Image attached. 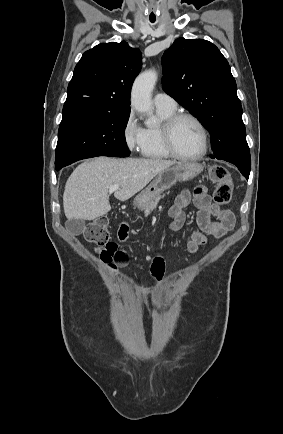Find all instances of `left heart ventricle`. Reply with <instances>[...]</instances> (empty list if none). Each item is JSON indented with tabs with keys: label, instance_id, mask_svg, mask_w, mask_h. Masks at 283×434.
<instances>
[{
	"label": "left heart ventricle",
	"instance_id": "obj_1",
	"mask_svg": "<svg viewBox=\"0 0 283 434\" xmlns=\"http://www.w3.org/2000/svg\"><path fill=\"white\" fill-rule=\"evenodd\" d=\"M176 150L183 155L197 154L202 147V138L198 127L189 119L180 120L173 131Z\"/></svg>",
	"mask_w": 283,
	"mask_h": 434
}]
</instances>
